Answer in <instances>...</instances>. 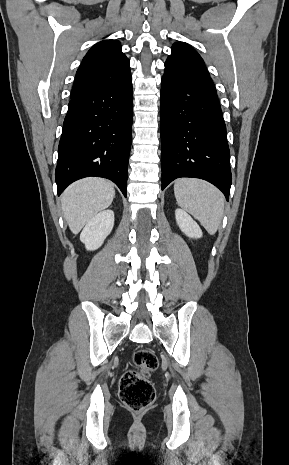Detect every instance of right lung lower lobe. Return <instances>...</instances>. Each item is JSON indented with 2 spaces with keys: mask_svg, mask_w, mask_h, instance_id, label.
Wrapping results in <instances>:
<instances>
[{
  "mask_svg": "<svg viewBox=\"0 0 289 465\" xmlns=\"http://www.w3.org/2000/svg\"><path fill=\"white\" fill-rule=\"evenodd\" d=\"M132 120L131 74L116 86L71 99L58 147V195L80 178L97 176L127 196Z\"/></svg>",
  "mask_w": 289,
  "mask_h": 465,
  "instance_id": "98d812e1",
  "label": "right lung lower lobe"
}]
</instances>
